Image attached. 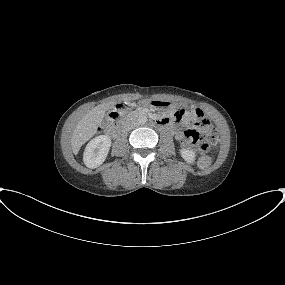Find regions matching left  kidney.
<instances>
[{"label":"left kidney","mask_w":285,"mask_h":285,"mask_svg":"<svg viewBox=\"0 0 285 285\" xmlns=\"http://www.w3.org/2000/svg\"><path fill=\"white\" fill-rule=\"evenodd\" d=\"M182 158L187 162L192 164L195 161V152L191 149H181L180 150Z\"/></svg>","instance_id":"obj_1"}]
</instances>
